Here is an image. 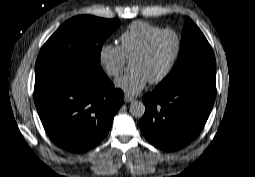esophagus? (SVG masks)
<instances>
[{
    "label": "esophagus",
    "mask_w": 255,
    "mask_h": 177,
    "mask_svg": "<svg viewBox=\"0 0 255 177\" xmlns=\"http://www.w3.org/2000/svg\"><path fill=\"white\" fill-rule=\"evenodd\" d=\"M124 101H125L126 103H129V102L134 101V98L131 97V96H129V95H127V94H125V96H124Z\"/></svg>",
    "instance_id": "1"
}]
</instances>
